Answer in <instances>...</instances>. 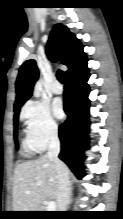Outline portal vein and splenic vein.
Segmentation results:
<instances>
[{"mask_svg":"<svg viewBox=\"0 0 123 219\" xmlns=\"http://www.w3.org/2000/svg\"><path fill=\"white\" fill-rule=\"evenodd\" d=\"M27 194H30V191H26ZM47 211H55V208H56V204L54 201H50L48 202L47 204Z\"/></svg>","mask_w":123,"mask_h":219,"instance_id":"1","label":"portal vein and splenic vein"}]
</instances>
